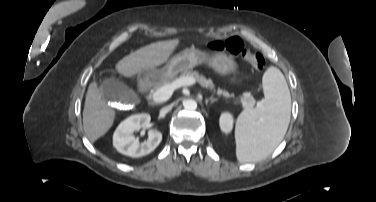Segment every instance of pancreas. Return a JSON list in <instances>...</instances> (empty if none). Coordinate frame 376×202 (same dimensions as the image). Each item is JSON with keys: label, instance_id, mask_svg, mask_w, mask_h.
Segmentation results:
<instances>
[{"label": "pancreas", "instance_id": "cf45deb5", "mask_svg": "<svg viewBox=\"0 0 376 202\" xmlns=\"http://www.w3.org/2000/svg\"><path fill=\"white\" fill-rule=\"evenodd\" d=\"M184 77L194 78L195 81L198 82L202 87H205L207 89L215 91V85L213 84L212 80L206 79V77H204L203 75H200L196 71L189 70V71L183 72L179 77H176V78H173V79L168 78V77H160L157 81H155L151 84L152 88L150 90V94L152 95L160 87H162L164 85L171 84L174 81H176L177 79L184 78ZM216 93H217V95H219V96L222 95L225 98H230V97L234 98L233 94H229L228 91L222 90L220 88L217 89ZM239 102L241 103V105L244 109H252L256 104V100L253 97L250 96V97L246 98L244 96V94L241 97H239Z\"/></svg>", "mask_w": 376, "mask_h": 202}]
</instances>
